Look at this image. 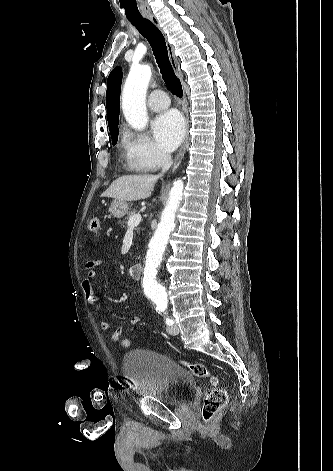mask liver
Instances as JSON below:
<instances>
[{"label":"liver","mask_w":333,"mask_h":471,"mask_svg":"<svg viewBox=\"0 0 333 471\" xmlns=\"http://www.w3.org/2000/svg\"><path fill=\"white\" fill-rule=\"evenodd\" d=\"M158 180L155 175H126L117 178L102 194L120 201H136L150 197Z\"/></svg>","instance_id":"obj_1"}]
</instances>
